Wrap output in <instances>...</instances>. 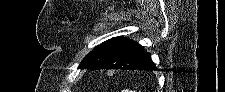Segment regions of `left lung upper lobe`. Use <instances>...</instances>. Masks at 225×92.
Instances as JSON below:
<instances>
[{
    "instance_id": "left-lung-upper-lobe-1",
    "label": "left lung upper lobe",
    "mask_w": 225,
    "mask_h": 92,
    "mask_svg": "<svg viewBox=\"0 0 225 92\" xmlns=\"http://www.w3.org/2000/svg\"><path fill=\"white\" fill-rule=\"evenodd\" d=\"M132 40L123 36L111 38L102 44L96 46L86 57L83 59L82 64L78 66L79 69H92L94 70L105 59L115 53L117 50L125 45L131 43Z\"/></svg>"
}]
</instances>
